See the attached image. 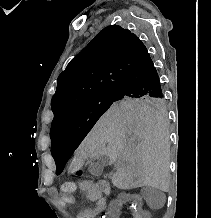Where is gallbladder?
Returning a JSON list of instances; mask_svg holds the SVG:
<instances>
[{
  "label": "gallbladder",
  "mask_w": 211,
  "mask_h": 218,
  "mask_svg": "<svg viewBox=\"0 0 211 218\" xmlns=\"http://www.w3.org/2000/svg\"><path fill=\"white\" fill-rule=\"evenodd\" d=\"M108 162V156H102L99 162H95V160H92V162H89L88 172H90L92 176H102L104 166H107Z\"/></svg>",
  "instance_id": "gallbladder-1"
}]
</instances>
